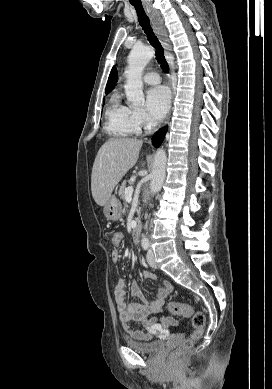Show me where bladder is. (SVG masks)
<instances>
[{
    "instance_id": "bladder-1",
    "label": "bladder",
    "mask_w": 272,
    "mask_h": 389,
    "mask_svg": "<svg viewBox=\"0 0 272 389\" xmlns=\"http://www.w3.org/2000/svg\"><path fill=\"white\" fill-rule=\"evenodd\" d=\"M124 341L128 347L148 355L158 354L165 348V342L161 340L139 342L129 338H125Z\"/></svg>"
}]
</instances>
